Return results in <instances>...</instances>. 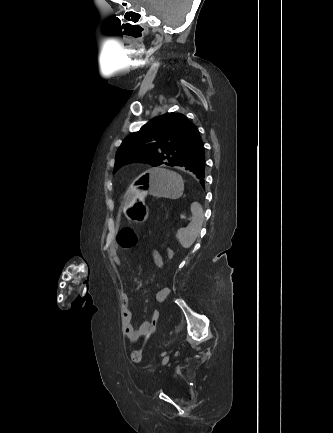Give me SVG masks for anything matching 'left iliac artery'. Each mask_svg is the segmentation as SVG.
Listing matches in <instances>:
<instances>
[{"mask_svg":"<svg viewBox=\"0 0 333 433\" xmlns=\"http://www.w3.org/2000/svg\"><path fill=\"white\" fill-rule=\"evenodd\" d=\"M166 354V352L161 353V356H164Z\"/></svg>","mask_w":333,"mask_h":433,"instance_id":"left-iliac-artery-1","label":"left iliac artery"}]
</instances>
